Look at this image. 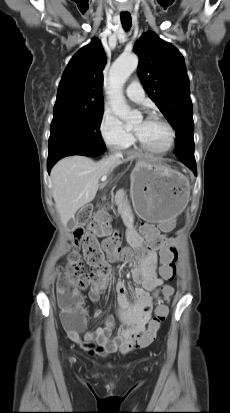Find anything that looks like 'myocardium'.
Instances as JSON below:
<instances>
[{"label":"myocardium","mask_w":230,"mask_h":413,"mask_svg":"<svg viewBox=\"0 0 230 413\" xmlns=\"http://www.w3.org/2000/svg\"><path fill=\"white\" fill-rule=\"evenodd\" d=\"M150 120L159 121L160 123H162L165 126V128L168 131V140H167L166 144L162 147H153V146H150V145L146 144L138 136L136 137L137 141L139 142L141 148L144 149L145 151H148V152H151V153H154V154H164V153L168 152L169 150H171V148L174 145L175 130H174L173 126L171 125V123L169 121H167L165 118H163L162 116H160L158 114H152L150 116Z\"/></svg>","instance_id":"1"}]
</instances>
